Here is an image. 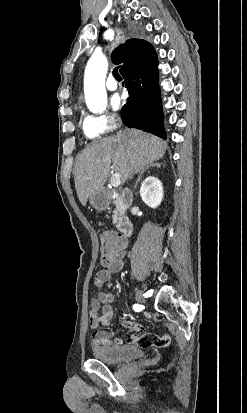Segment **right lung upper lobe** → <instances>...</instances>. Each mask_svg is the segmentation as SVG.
Segmentation results:
<instances>
[{"mask_svg":"<svg viewBox=\"0 0 247 413\" xmlns=\"http://www.w3.org/2000/svg\"><path fill=\"white\" fill-rule=\"evenodd\" d=\"M111 57L114 64L123 63L120 69L123 77L138 75L158 65L154 48L141 39L127 40L113 51Z\"/></svg>","mask_w":247,"mask_h":413,"instance_id":"obj_1","label":"right lung upper lobe"}]
</instances>
